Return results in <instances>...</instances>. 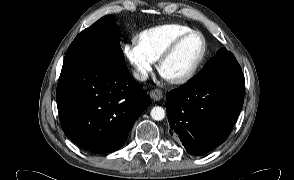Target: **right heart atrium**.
<instances>
[{
  "label": "right heart atrium",
  "mask_w": 294,
  "mask_h": 180,
  "mask_svg": "<svg viewBox=\"0 0 294 180\" xmlns=\"http://www.w3.org/2000/svg\"><path fill=\"white\" fill-rule=\"evenodd\" d=\"M123 52L133 67L135 78L139 81H145L153 70L156 60L146 52L137 39L126 43Z\"/></svg>",
  "instance_id": "d8ad5b80"
}]
</instances>
